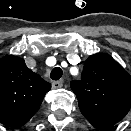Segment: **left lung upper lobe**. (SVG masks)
<instances>
[{
    "mask_svg": "<svg viewBox=\"0 0 131 131\" xmlns=\"http://www.w3.org/2000/svg\"><path fill=\"white\" fill-rule=\"evenodd\" d=\"M81 113L98 129L122 120L131 107V75L110 55L88 57L80 80L70 83Z\"/></svg>",
    "mask_w": 131,
    "mask_h": 131,
    "instance_id": "obj_1",
    "label": "left lung upper lobe"
}]
</instances>
